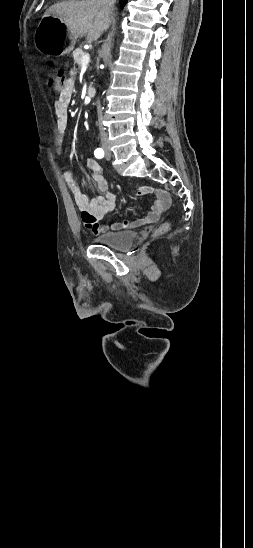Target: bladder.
<instances>
[{
	"label": "bladder",
	"mask_w": 253,
	"mask_h": 548,
	"mask_svg": "<svg viewBox=\"0 0 253 548\" xmlns=\"http://www.w3.org/2000/svg\"><path fill=\"white\" fill-rule=\"evenodd\" d=\"M134 231L105 232L94 238V242L117 250L129 248L135 241Z\"/></svg>",
	"instance_id": "1"
}]
</instances>
